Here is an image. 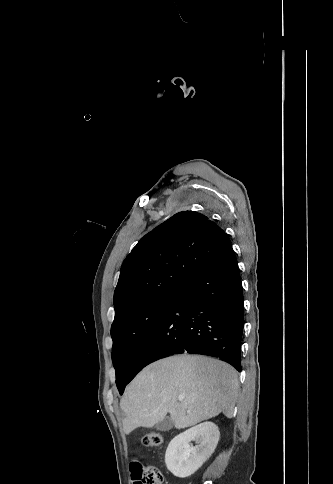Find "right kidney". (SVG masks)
Returning a JSON list of instances; mask_svg holds the SVG:
<instances>
[{
    "instance_id": "1",
    "label": "right kidney",
    "mask_w": 333,
    "mask_h": 484,
    "mask_svg": "<svg viewBox=\"0 0 333 484\" xmlns=\"http://www.w3.org/2000/svg\"><path fill=\"white\" fill-rule=\"evenodd\" d=\"M219 437V429L212 422L201 423L177 435L166 450L167 469L179 478L191 476L214 452ZM190 441H195L197 446L191 447Z\"/></svg>"
}]
</instances>
